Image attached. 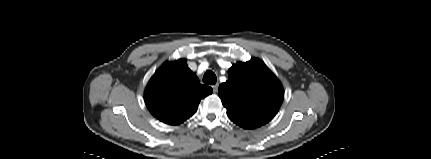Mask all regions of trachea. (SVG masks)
I'll use <instances>...</instances> for the list:
<instances>
[{
  "label": "trachea",
  "instance_id": "trachea-1",
  "mask_svg": "<svg viewBox=\"0 0 431 159\" xmlns=\"http://www.w3.org/2000/svg\"><path fill=\"white\" fill-rule=\"evenodd\" d=\"M217 81V77L214 72L207 70L203 76V82L209 85H214Z\"/></svg>",
  "mask_w": 431,
  "mask_h": 159
}]
</instances>
